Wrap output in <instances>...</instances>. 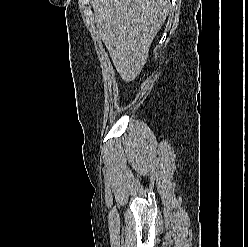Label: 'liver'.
<instances>
[{
	"label": "liver",
	"instance_id": "obj_1",
	"mask_svg": "<svg viewBox=\"0 0 248 247\" xmlns=\"http://www.w3.org/2000/svg\"><path fill=\"white\" fill-rule=\"evenodd\" d=\"M96 27L121 78L134 80L170 10L169 0H91Z\"/></svg>",
	"mask_w": 248,
	"mask_h": 247
}]
</instances>
